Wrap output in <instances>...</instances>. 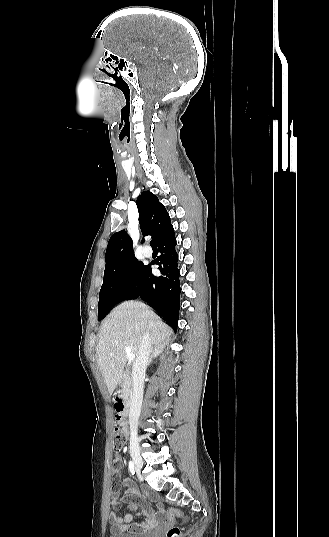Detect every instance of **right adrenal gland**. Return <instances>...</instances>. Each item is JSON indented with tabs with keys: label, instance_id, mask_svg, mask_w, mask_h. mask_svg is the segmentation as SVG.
<instances>
[{
	"label": "right adrenal gland",
	"instance_id": "right-adrenal-gland-1",
	"mask_svg": "<svg viewBox=\"0 0 329 537\" xmlns=\"http://www.w3.org/2000/svg\"><path fill=\"white\" fill-rule=\"evenodd\" d=\"M163 352V349L160 348L159 346H155L154 349H153V352L149 358V361H148V364L147 366H149L153 360L154 357H157L159 354H161Z\"/></svg>",
	"mask_w": 329,
	"mask_h": 537
}]
</instances>
